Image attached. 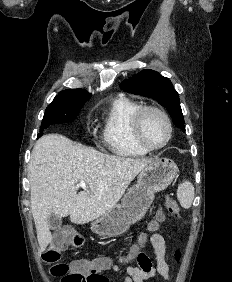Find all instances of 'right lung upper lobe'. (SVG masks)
I'll return each mask as SVG.
<instances>
[{
  "label": "right lung upper lobe",
  "mask_w": 232,
  "mask_h": 282,
  "mask_svg": "<svg viewBox=\"0 0 232 282\" xmlns=\"http://www.w3.org/2000/svg\"><path fill=\"white\" fill-rule=\"evenodd\" d=\"M91 94L82 89L61 91L53 101H66L90 98Z\"/></svg>",
  "instance_id": "1"
}]
</instances>
